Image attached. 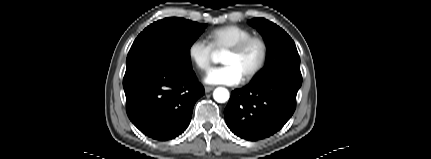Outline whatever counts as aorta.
I'll use <instances>...</instances> for the list:
<instances>
[{
	"label": "aorta",
	"mask_w": 431,
	"mask_h": 159,
	"mask_svg": "<svg viewBox=\"0 0 431 159\" xmlns=\"http://www.w3.org/2000/svg\"><path fill=\"white\" fill-rule=\"evenodd\" d=\"M213 60L217 62L218 59L214 57ZM213 97L218 103H225L229 99V91L222 87L216 88L213 92Z\"/></svg>",
	"instance_id": "obj_1"
}]
</instances>
